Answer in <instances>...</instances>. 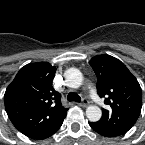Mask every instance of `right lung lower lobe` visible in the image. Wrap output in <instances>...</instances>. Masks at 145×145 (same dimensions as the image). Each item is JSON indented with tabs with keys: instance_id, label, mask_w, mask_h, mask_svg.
I'll return each instance as SVG.
<instances>
[{
	"instance_id": "right-lung-lower-lobe-1",
	"label": "right lung lower lobe",
	"mask_w": 145,
	"mask_h": 145,
	"mask_svg": "<svg viewBox=\"0 0 145 145\" xmlns=\"http://www.w3.org/2000/svg\"><path fill=\"white\" fill-rule=\"evenodd\" d=\"M64 118H65V117H64ZM64 118H62V119H61L55 126H53L51 129H49V130H47V131H45V132H42V133L33 135V136H31L30 138L36 139V140H42V139H46V138L50 137L51 135H53V134L61 127Z\"/></svg>"
}]
</instances>
